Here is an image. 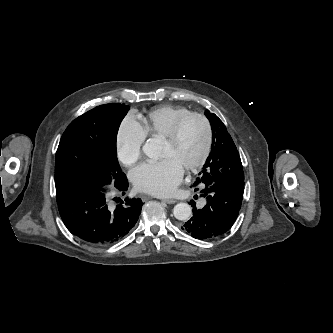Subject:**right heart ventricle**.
Segmentation results:
<instances>
[{
	"label": "right heart ventricle",
	"mask_w": 333,
	"mask_h": 333,
	"mask_svg": "<svg viewBox=\"0 0 333 333\" xmlns=\"http://www.w3.org/2000/svg\"><path fill=\"white\" fill-rule=\"evenodd\" d=\"M190 110L181 106H161L150 110L141 118L146 137H165L172 125Z\"/></svg>",
	"instance_id": "e07e8e85"
}]
</instances>
